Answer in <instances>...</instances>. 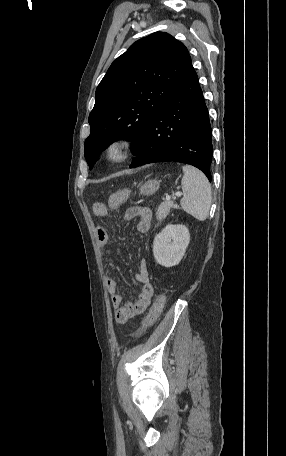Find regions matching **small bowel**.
Returning <instances> with one entry per match:
<instances>
[{"label":"small bowel","mask_w":286,"mask_h":456,"mask_svg":"<svg viewBox=\"0 0 286 456\" xmlns=\"http://www.w3.org/2000/svg\"><path fill=\"white\" fill-rule=\"evenodd\" d=\"M111 208L115 206L110 205ZM125 220L135 222L139 232H147L152 224V212L147 207L133 206L126 210ZM97 241L102 251L106 252L109 246V233L105 226L97 228ZM135 280L141 285V290L134 302H124L118 293V283L116 280L106 277L105 286L110 293L111 304L115 309V320L119 324L127 322L136 315L143 313L151 302L153 287L150 282L149 264L147 259H142L139 263L138 272Z\"/></svg>","instance_id":"1"}]
</instances>
